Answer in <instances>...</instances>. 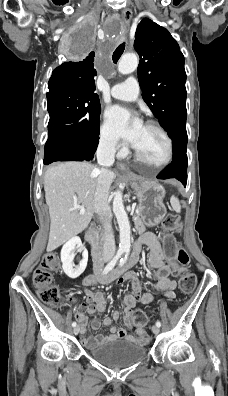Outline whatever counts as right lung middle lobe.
<instances>
[{
  "mask_svg": "<svg viewBox=\"0 0 228 396\" xmlns=\"http://www.w3.org/2000/svg\"><path fill=\"white\" fill-rule=\"evenodd\" d=\"M93 44L89 32L81 30L73 54L83 57ZM48 89V139L63 138L79 154L92 158L99 142L101 107L98 95L66 81H49Z\"/></svg>",
  "mask_w": 228,
  "mask_h": 396,
  "instance_id": "obj_1",
  "label": "right lung middle lobe"
}]
</instances>
